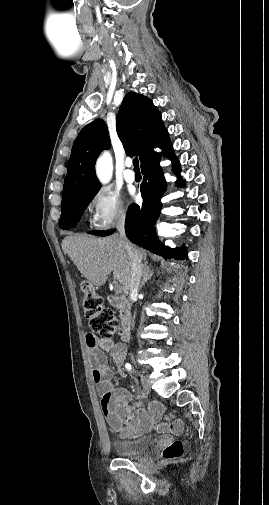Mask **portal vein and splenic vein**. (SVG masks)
Returning <instances> with one entry per match:
<instances>
[{"label":"portal vein and splenic vein","instance_id":"obj_1","mask_svg":"<svg viewBox=\"0 0 269 505\" xmlns=\"http://www.w3.org/2000/svg\"><path fill=\"white\" fill-rule=\"evenodd\" d=\"M114 289H115L116 293H121L122 292V287L120 285H115Z\"/></svg>","mask_w":269,"mask_h":505}]
</instances>
